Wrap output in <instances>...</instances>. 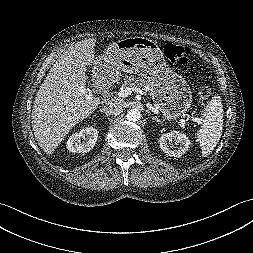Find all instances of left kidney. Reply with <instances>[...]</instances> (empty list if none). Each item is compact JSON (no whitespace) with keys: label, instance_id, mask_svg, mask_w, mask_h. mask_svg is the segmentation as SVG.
Here are the masks:
<instances>
[{"label":"left kidney","instance_id":"1","mask_svg":"<svg viewBox=\"0 0 253 253\" xmlns=\"http://www.w3.org/2000/svg\"><path fill=\"white\" fill-rule=\"evenodd\" d=\"M175 141L177 149H173V146H169L170 142ZM169 142V143H168ZM160 148L165 154L171 157H181L189 148L190 140L188 137L178 131H171L163 134L159 138Z\"/></svg>","mask_w":253,"mask_h":253}]
</instances>
